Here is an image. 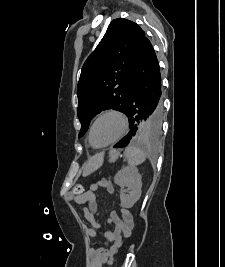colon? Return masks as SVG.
<instances>
[{"label":"colon","instance_id":"1","mask_svg":"<svg viewBox=\"0 0 225 267\" xmlns=\"http://www.w3.org/2000/svg\"><path fill=\"white\" fill-rule=\"evenodd\" d=\"M73 193L78 196L82 195L84 193V187L81 184L74 186ZM109 265H112V261H109Z\"/></svg>","mask_w":225,"mask_h":267}]
</instances>
